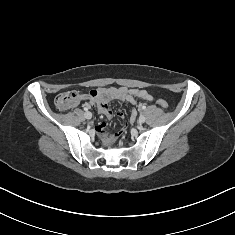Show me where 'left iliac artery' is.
Wrapping results in <instances>:
<instances>
[{"mask_svg":"<svg viewBox=\"0 0 235 235\" xmlns=\"http://www.w3.org/2000/svg\"><path fill=\"white\" fill-rule=\"evenodd\" d=\"M141 109L145 110V109H146V106L143 105V106L141 107Z\"/></svg>","mask_w":235,"mask_h":235,"instance_id":"44dca946","label":"left iliac artery"}]
</instances>
